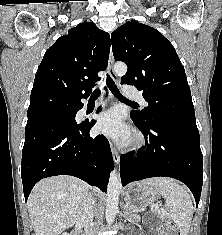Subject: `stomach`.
Wrapping results in <instances>:
<instances>
[{
  "label": "stomach",
  "instance_id": "stomach-1",
  "mask_svg": "<svg viewBox=\"0 0 222 235\" xmlns=\"http://www.w3.org/2000/svg\"><path fill=\"white\" fill-rule=\"evenodd\" d=\"M140 183L130 185L126 191V204L132 209L142 208L156 201L160 194L155 188L140 186Z\"/></svg>",
  "mask_w": 222,
  "mask_h": 235
}]
</instances>
